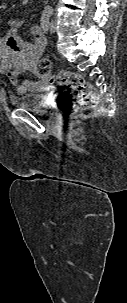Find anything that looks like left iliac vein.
Here are the masks:
<instances>
[{
	"label": "left iliac vein",
	"instance_id": "obj_1",
	"mask_svg": "<svg viewBox=\"0 0 127 303\" xmlns=\"http://www.w3.org/2000/svg\"><path fill=\"white\" fill-rule=\"evenodd\" d=\"M57 29V22L56 20H52L50 23V32L54 33Z\"/></svg>",
	"mask_w": 127,
	"mask_h": 303
}]
</instances>
